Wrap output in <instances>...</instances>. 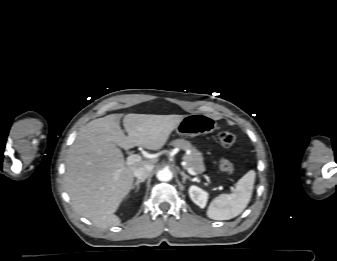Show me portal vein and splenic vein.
Here are the masks:
<instances>
[{
    "label": "portal vein and splenic vein",
    "mask_w": 337,
    "mask_h": 261,
    "mask_svg": "<svg viewBox=\"0 0 337 261\" xmlns=\"http://www.w3.org/2000/svg\"><path fill=\"white\" fill-rule=\"evenodd\" d=\"M142 160L141 156L138 154H133L127 157V165H131L137 162H140ZM187 171L189 174L193 176H198V174L192 169V168H187Z\"/></svg>",
    "instance_id": "18ae733b"
}]
</instances>
